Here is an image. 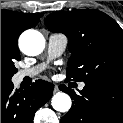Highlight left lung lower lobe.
I'll return each instance as SVG.
<instances>
[{
    "instance_id": "obj_1",
    "label": "left lung lower lobe",
    "mask_w": 123,
    "mask_h": 123,
    "mask_svg": "<svg viewBox=\"0 0 123 123\" xmlns=\"http://www.w3.org/2000/svg\"><path fill=\"white\" fill-rule=\"evenodd\" d=\"M73 99L61 123H123V83L86 82L80 94L61 85Z\"/></svg>"
}]
</instances>
